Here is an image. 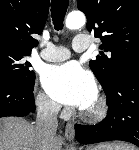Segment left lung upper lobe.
<instances>
[{"label": "left lung upper lobe", "instance_id": "left-lung-upper-lobe-1", "mask_svg": "<svg viewBox=\"0 0 139 150\" xmlns=\"http://www.w3.org/2000/svg\"><path fill=\"white\" fill-rule=\"evenodd\" d=\"M87 29L101 39L103 52L89 65L105 93L131 63L139 61V0H77Z\"/></svg>", "mask_w": 139, "mask_h": 150}]
</instances>
